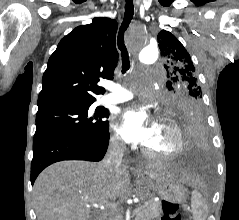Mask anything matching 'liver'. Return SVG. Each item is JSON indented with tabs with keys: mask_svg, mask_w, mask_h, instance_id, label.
Masks as SVG:
<instances>
[{
	"mask_svg": "<svg viewBox=\"0 0 239 220\" xmlns=\"http://www.w3.org/2000/svg\"><path fill=\"white\" fill-rule=\"evenodd\" d=\"M150 179L164 177L156 171L144 172ZM191 185L190 176L181 171L167 175ZM128 167L113 170L101 163L61 161L40 173L33 187L35 212L38 220H89L90 204L112 206L122 196L129 182Z\"/></svg>",
	"mask_w": 239,
	"mask_h": 220,
	"instance_id": "6515ba94",
	"label": "liver"
}]
</instances>
